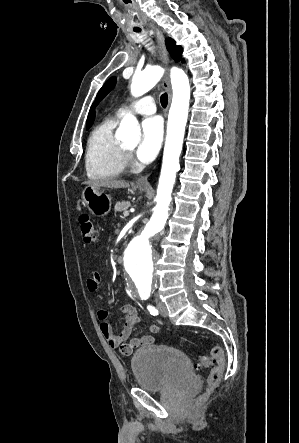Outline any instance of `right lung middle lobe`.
Masks as SVG:
<instances>
[{
    "instance_id": "dd1d6c3e",
    "label": "right lung middle lobe",
    "mask_w": 299,
    "mask_h": 443,
    "mask_svg": "<svg viewBox=\"0 0 299 443\" xmlns=\"http://www.w3.org/2000/svg\"><path fill=\"white\" fill-rule=\"evenodd\" d=\"M91 127V125H86V129H89Z\"/></svg>"
}]
</instances>
